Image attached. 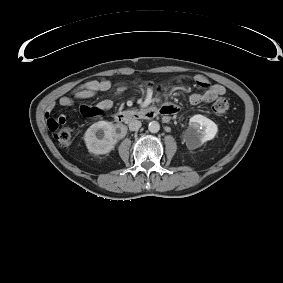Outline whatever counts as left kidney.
<instances>
[{"label":"left kidney","instance_id":"left-kidney-1","mask_svg":"<svg viewBox=\"0 0 283 283\" xmlns=\"http://www.w3.org/2000/svg\"><path fill=\"white\" fill-rule=\"evenodd\" d=\"M217 130V125L209 118L201 114L192 116L185 135L187 148L192 150L199 148L205 142L212 140Z\"/></svg>","mask_w":283,"mask_h":283}]
</instances>
